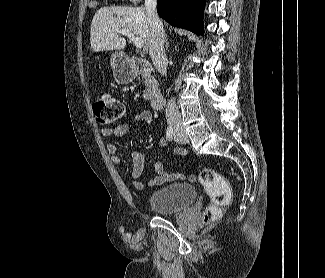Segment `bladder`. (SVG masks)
Wrapping results in <instances>:
<instances>
[{
  "mask_svg": "<svg viewBox=\"0 0 325 278\" xmlns=\"http://www.w3.org/2000/svg\"><path fill=\"white\" fill-rule=\"evenodd\" d=\"M196 195V189L192 184L172 183L154 190L148 204L158 215H171L192 205Z\"/></svg>",
  "mask_w": 325,
  "mask_h": 278,
  "instance_id": "obj_1",
  "label": "bladder"
}]
</instances>
